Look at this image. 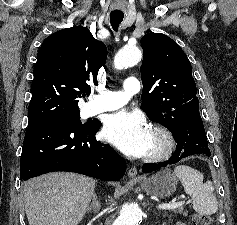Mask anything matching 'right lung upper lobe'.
<instances>
[{"label": "right lung upper lobe", "mask_w": 237, "mask_h": 225, "mask_svg": "<svg viewBox=\"0 0 237 225\" xmlns=\"http://www.w3.org/2000/svg\"><path fill=\"white\" fill-rule=\"evenodd\" d=\"M29 121L47 120L79 111L78 98L97 84L99 68L105 64L107 48L87 28L74 26L47 37L37 55Z\"/></svg>", "instance_id": "cb5924a9"}]
</instances>
